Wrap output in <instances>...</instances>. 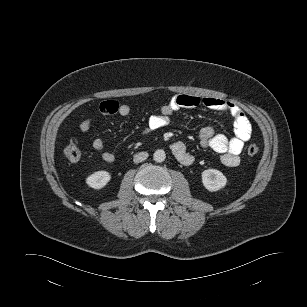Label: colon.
<instances>
[{"label":"colon","mask_w":307,"mask_h":307,"mask_svg":"<svg viewBox=\"0 0 307 307\" xmlns=\"http://www.w3.org/2000/svg\"><path fill=\"white\" fill-rule=\"evenodd\" d=\"M246 152L248 156H255L259 152V146L255 143H251L247 146ZM64 154L66 158L72 162L79 160L81 156L80 148L76 141L70 142V144L65 148Z\"/></svg>","instance_id":"colon-1"}]
</instances>
